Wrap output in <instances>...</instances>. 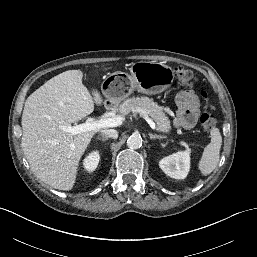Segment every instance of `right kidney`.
Instances as JSON below:
<instances>
[{
    "instance_id": "ca27d5eb",
    "label": "right kidney",
    "mask_w": 257,
    "mask_h": 257,
    "mask_svg": "<svg viewBox=\"0 0 257 257\" xmlns=\"http://www.w3.org/2000/svg\"><path fill=\"white\" fill-rule=\"evenodd\" d=\"M100 155L98 151L91 152L85 159H84V168L88 172H93L99 163Z\"/></svg>"
}]
</instances>
